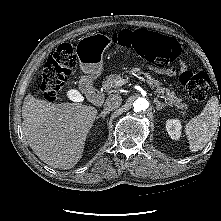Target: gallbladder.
Returning a JSON list of instances; mask_svg holds the SVG:
<instances>
[{"label": "gallbladder", "mask_w": 221, "mask_h": 221, "mask_svg": "<svg viewBox=\"0 0 221 221\" xmlns=\"http://www.w3.org/2000/svg\"><path fill=\"white\" fill-rule=\"evenodd\" d=\"M65 97L70 102L80 101L82 99V94L75 87H70L65 92Z\"/></svg>", "instance_id": "bac80fb5"}]
</instances>
